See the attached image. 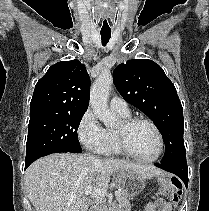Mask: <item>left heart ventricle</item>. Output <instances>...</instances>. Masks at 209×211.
I'll list each match as a JSON object with an SVG mask.
<instances>
[{
    "mask_svg": "<svg viewBox=\"0 0 209 211\" xmlns=\"http://www.w3.org/2000/svg\"><path fill=\"white\" fill-rule=\"evenodd\" d=\"M130 150L141 158H151L158 151V138L153 128L144 122L135 124L128 133Z\"/></svg>",
    "mask_w": 209,
    "mask_h": 211,
    "instance_id": "obj_1",
    "label": "left heart ventricle"
}]
</instances>
